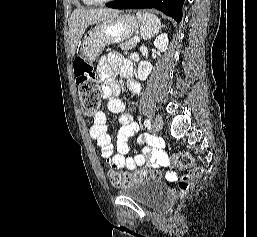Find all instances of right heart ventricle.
Masks as SVG:
<instances>
[{
  "label": "right heart ventricle",
  "mask_w": 257,
  "mask_h": 237,
  "mask_svg": "<svg viewBox=\"0 0 257 237\" xmlns=\"http://www.w3.org/2000/svg\"><path fill=\"white\" fill-rule=\"evenodd\" d=\"M84 5L91 6L94 3L91 0H81Z\"/></svg>",
  "instance_id": "1"
}]
</instances>
